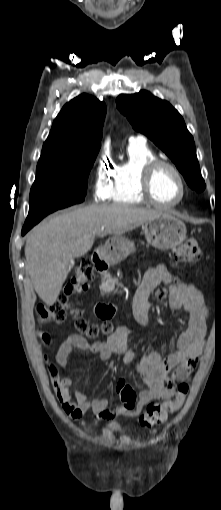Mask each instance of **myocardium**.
<instances>
[{
    "mask_svg": "<svg viewBox=\"0 0 221 510\" xmlns=\"http://www.w3.org/2000/svg\"><path fill=\"white\" fill-rule=\"evenodd\" d=\"M161 167H167L170 170L173 171V173L177 176L180 186H181V195L180 197L171 203H164L158 201L152 191V180L154 177V174L156 171ZM139 187L142 196L146 201L151 203L152 205L160 208H171L175 207L179 204H181L187 195V184L186 181L181 173V171L178 169V167L173 164L172 162L161 159V158H153L148 161H146L142 167L140 168V175H139Z\"/></svg>",
    "mask_w": 221,
    "mask_h": 510,
    "instance_id": "obj_1",
    "label": "myocardium"
}]
</instances>
